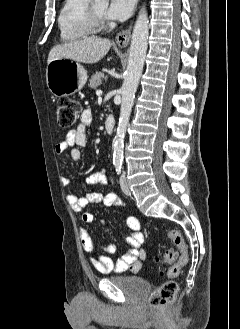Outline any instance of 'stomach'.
I'll use <instances>...</instances> for the list:
<instances>
[{"mask_svg": "<svg viewBox=\"0 0 240 329\" xmlns=\"http://www.w3.org/2000/svg\"><path fill=\"white\" fill-rule=\"evenodd\" d=\"M87 72L78 62L68 58L55 59L47 65L46 82L56 97L75 94L85 85Z\"/></svg>", "mask_w": 240, "mask_h": 329, "instance_id": "1", "label": "stomach"}]
</instances>
